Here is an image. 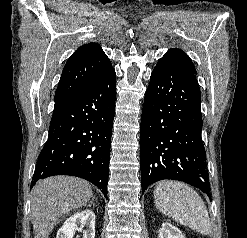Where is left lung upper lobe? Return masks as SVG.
<instances>
[{
	"instance_id": "5c2ea615",
	"label": "left lung upper lobe",
	"mask_w": 247,
	"mask_h": 238,
	"mask_svg": "<svg viewBox=\"0 0 247 238\" xmlns=\"http://www.w3.org/2000/svg\"><path fill=\"white\" fill-rule=\"evenodd\" d=\"M161 59L170 60L174 62L176 65H179L182 68L192 72L193 74H196V70L191 59L186 53H184L180 49L168 50V52Z\"/></svg>"
}]
</instances>
